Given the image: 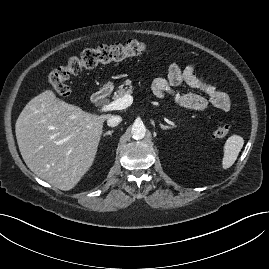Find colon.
<instances>
[{
  "label": "colon",
  "mask_w": 269,
  "mask_h": 269,
  "mask_svg": "<svg viewBox=\"0 0 269 269\" xmlns=\"http://www.w3.org/2000/svg\"><path fill=\"white\" fill-rule=\"evenodd\" d=\"M146 50L147 45L137 40H129L125 44H114L84 50L79 55L73 56L65 63L56 66L50 72V86L59 96L67 97L71 94V89L66 81L71 75H75L83 69L92 68L99 64L121 61L128 57L137 56ZM237 124L238 120L235 118L229 122L220 119L214 129V136L218 138L227 136Z\"/></svg>",
  "instance_id": "1"
}]
</instances>
